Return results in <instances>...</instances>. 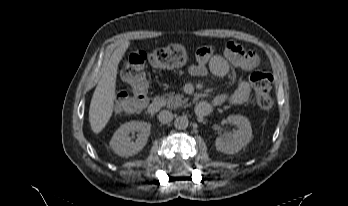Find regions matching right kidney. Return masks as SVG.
Here are the masks:
<instances>
[{"instance_id": "1", "label": "right kidney", "mask_w": 348, "mask_h": 206, "mask_svg": "<svg viewBox=\"0 0 348 206\" xmlns=\"http://www.w3.org/2000/svg\"><path fill=\"white\" fill-rule=\"evenodd\" d=\"M151 125L141 121H130L121 125L114 133L110 147L119 156H132L140 152L146 145ZM131 132H138L137 139L132 141Z\"/></svg>"}]
</instances>
